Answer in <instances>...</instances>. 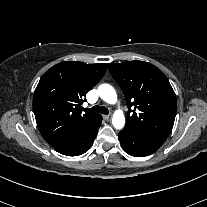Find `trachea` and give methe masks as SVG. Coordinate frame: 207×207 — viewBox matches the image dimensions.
<instances>
[{
    "label": "trachea",
    "mask_w": 207,
    "mask_h": 207,
    "mask_svg": "<svg viewBox=\"0 0 207 207\" xmlns=\"http://www.w3.org/2000/svg\"><path fill=\"white\" fill-rule=\"evenodd\" d=\"M86 111L89 112V113H94V114L95 113H101V114H106L107 115L109 113V110L106 107L98 106V105H96V106H94L90 109H86Z\"/></svg>",
    "instance_id": "1"
}]
</instances>
